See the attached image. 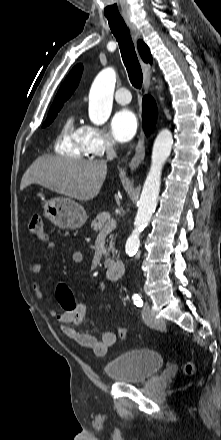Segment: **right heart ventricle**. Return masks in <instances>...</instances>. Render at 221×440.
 Wrapping results in <instances>:
<instances>
[{
  "mask_svg": "<svg viewBox=\"0 0 221 440\" xmlns=\"http://www.w3.org/2000/svg\"><path fill=\"white\" fill-rule=\"evenodd\" d=\"M55 151L65 157L84 159L89 157L86 141L85 127L75 122V117L69 115L62 122L54 145Z\"/></svg>",
  "mask_w": 221,
  "mask_h": 440,
  "instance_id": "e07e8e85",
  "label": "right heart ventricle"
}]
</instances>
